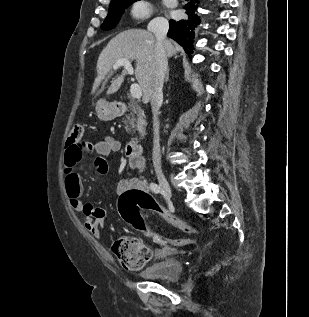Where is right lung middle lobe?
Returning a JSON list of instances; mask_svg holds the SVG:
<instances>
[{
    "instance_id": "right-lung-middle-lobe-1",
    "label": "right lung middle lobe",
    "mask_w": 309,
    "mask_h": 317,
    "mask_svg": "<svg viewBox=\"0 0 309 317\" xmlns=\"http://www.w3.org/2000/svg\"><path fill=\"white\" fill-rule=\"evenodd\" d=\"M138 0H112L109 7L108 15L102 23L103 30H110L116 27L125 8L129 7L133 2Z\"/></svg>"
}]
</instances>
